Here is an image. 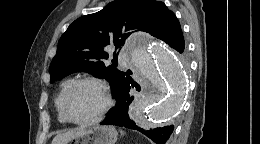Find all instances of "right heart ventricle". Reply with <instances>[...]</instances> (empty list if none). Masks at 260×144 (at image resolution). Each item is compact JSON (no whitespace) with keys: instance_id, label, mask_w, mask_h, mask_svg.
Segmentation results:
<instances>
[{"instance_id":"e07e8e85","label":"right heart ventricle","mask_w":260,"mask_h":144,"mask_svg":"<svg viewBox=\"0 0 260 144\" xmlns=\"http://www.w3.org/2000/svg\"><path fill=\"white\" fill-rule=\"evenodd\" d=\"M74 82L73 79H66L64 80L59 87L58 93L55 98V109L57 112V119L60 123L65 124L67 120L65 119L63 112H62V99L64 94L66 93L67 89L70 85Z\"/></svg>"}]
</instances>
